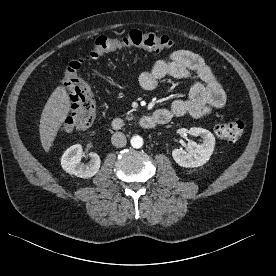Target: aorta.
<instances>
[{"mask_svg": "<svg viewBox=\"0 0 276 276\" xmlns=\"http://www.w3.org/2000/svg\"><path fill=\"white\" fill-rule=\"evenodd\" d=\"M131 146L133 148L139 149L143 146V138L141 136H133L130 140Z\"/></svg>", "mask_w": 276, "mask_h": 276, "instance_id": "obj_1", "label": "aorta"}]
</instances>
